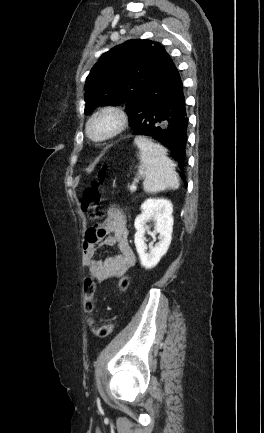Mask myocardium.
<instances>
[{
  "label": "myocardium",
  "instance_id": "f54148a6",
  "mask_svg": "<svg viewBox=\"0 0 264 433\" xmlns=\"http://www.w3.org/2000/svg\"><path fill=\"white\" fill-rule=\"evenodd\" d=\"M105 120L110 124L102 129L96 130V126ZM127 113L116 106H105L95 111L86 121L85 136L93 143H103L120 135L128 125Z\"/></svg>",
  "mask_w": 264,
  "mask_h": 433
}]
</instances>
